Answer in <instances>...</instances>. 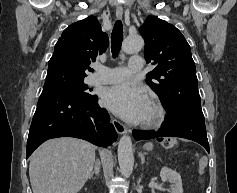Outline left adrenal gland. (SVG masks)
<instances>
[{"label": "left adrenal gland", "instance_id": "obj_1", "mask_svg": "<svg viewBox=\"0 0 237 193\" xmlns=\"http://www.w3.org/2000/svg\"><path fill=\"white\" fill-rule=\"evenodd\" d=\"M140 157H141V163L144 164L145 163V153H140Z\"/></svg>", "mask_w": 237, "mask_h": 193}]
</instances>
